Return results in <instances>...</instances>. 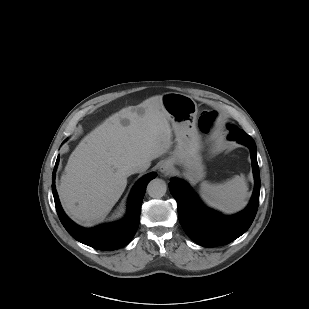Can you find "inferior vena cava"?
<instances>
[{
	"label": "inferior vena cava",
	"instance_id": "1",
	"mask_svg": "<svg viewBox=\"0 0 309 309\" xmlns=\"http://www.w3.org/2000/svg\"><path fill=\"white\" fill-rule=\"evenodd\" d=\"M147 169H148V165L146 164H136L128 170V174L131 175L134 173L143 172Z\"/></svg>",
	"mask_w": 309,
	"mask_h": 309
}]
</instances>
